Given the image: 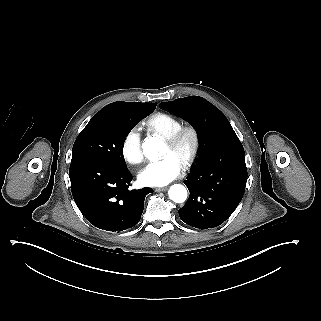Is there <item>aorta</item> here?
Returning <instances> with one entry per match:
<instances>
[{
    "instance_id": "1",
    "label": "aorta",
    "mask_w": 321,
    "mask_h": 321,
    "mask_svg": "<svg viewBox=\"0 0 321 321\" xmlns=\"http://www.w3.org/2000/svg\"><path fill=\"white\" fill-rule=\"evenodd\" d=\"M164 143L156 137L145 139L142 144L144 155L151 160H157L162 153ZM168 195L175 203H183L187 198V190L183 185L175 184L170 187Z\"/></svg>"
}]
</instances>
